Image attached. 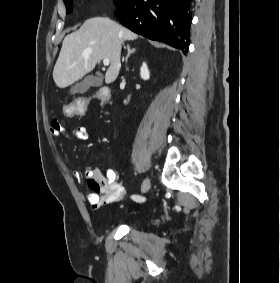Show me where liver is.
I'll use <instances>...</instances> for the list:
<instances>
[{
	"label": "liver",
	"instance_id": "1",
	"mask_svg": "<svg viewBox=\"0 0 280 283\" xmlns=\"http://www.w3.org/2000/svg\"><path fill=\"white\" fill-rule=\"evenodd\" d=\"M138 35L106 17L86 20L77 31L67 35L53 70V79L59 88L80 80L102 59H109L107 84L116 80L120 68L121 44L135 40Z\"/></svg>",
	"mask_w": 280,
	"mask_h": 283
}]
</instances>
